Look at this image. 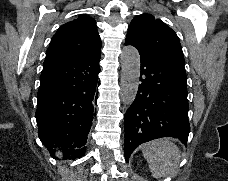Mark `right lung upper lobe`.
<instances>
[{
  "instance_id": "obj_1",
  "label": "right lung upper lobe",
  "mask_w": 228,
  "mask_h": 181,
  "mask_svg": "<svg viewBox=\"0 0 228 181\" xmlns=\"http://www.w3.org/2000/svg\"><path fill=\"white\" fill-rule=\"evenodd\" d=\"M100 49L101 40L95 20L81 15L58 29L47 49L43 66L64 63L99 52Z\"/></svg>"
}]
</instances>
